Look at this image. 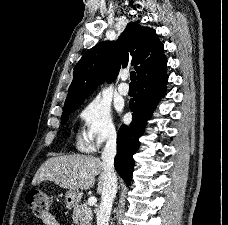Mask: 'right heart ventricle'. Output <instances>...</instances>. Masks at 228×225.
Instances as JSON below:
<instances>
[{"instance_id": "right-heart-ventricle-1", "label": "right heart ventricle", "mask_w": 228, "mask_h": 225, "mask_svg": "<svg viewBox=\"0 0 228 225\" xmlns=\"http://www.w3.org/2000/svg\"><path fill=\"white\" fill-rule=\"evenodd\" d=\"M78 147L82 150H90L91 147L81 138L77 140Z\"/></svg>"}]
</instances>
